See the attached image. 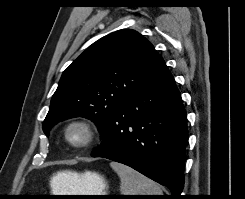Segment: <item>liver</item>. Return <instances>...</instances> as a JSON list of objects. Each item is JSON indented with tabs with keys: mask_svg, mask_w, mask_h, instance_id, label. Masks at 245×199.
Masks as SVG:
<instances>
[{
	"mask_svg": "<svg viewBox=\"0 0 245 199\" xmlns=\"http://www.w3.org/2000/svg\"><path fill=\"white\" fill-rule=\"evenodd\" d=\"M58 173H60V172H58ZM51 185L53 186V182H52V180H51Z\"/></svg>",
	"mask_w": 245,
	"mask_h": 199,
	"instance_id": "6515ba94",
	"label": "liver"
}]
</instances>
